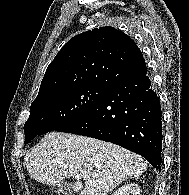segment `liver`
<instances>
[{
    "instance_id": "6515ba94",
    "label": "liver",
    "mask_w": 189,
    "mask_h": 195,
    "mask_svg": "<svg viewBox=\"0 0 189 195\" xmlns=\"http://www.w3.org/2000/svg\"><path fill=\"white\" fill-rule=\"evenodd\" d=\"M31 178L55 186L77 174L79 195H108L122 181L147 170L144 159L115 144L95 138L53 131L28 152L23 162ZM87 181H92L86 184Z\"/></svg>"
}]
</instances>
